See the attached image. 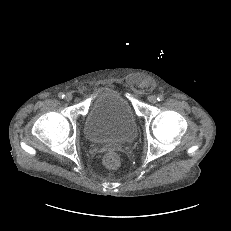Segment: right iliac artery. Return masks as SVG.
<instances>
[{
  "instance_id": "right-iliac-artery-1",
  "label": "right iliac artery",
  "mask_w": 231,
  "mask_h": 231,
  "mask_svg": "<svg viewBox=\"0 0 231 231\" xmlns=\"http://www.w3.org/2000/svg\"><path fill=\"white\" fill-rule=\"evenodd\" d=\"M58 96L59 98H62V99L65 97L64 93H59Z\"/></svg>"
}]
</instances>
